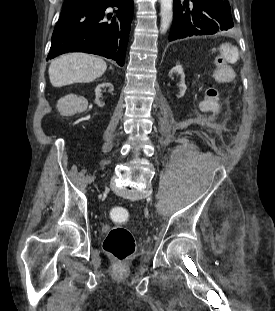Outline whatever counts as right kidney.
Masks as SVG:
<instances>
[{
	"instance_id": "1",
	"label": "right kidney",
	"mask_w": 275,
	"mask_h": 311,
	"mask_svg": "<svg viewBox=\"0 0 275 311\" xmlns=\"http://www.w3.org/2000/svg\"><path fill=\"white\" fill-rule=\"evenodd\" d=\"M113 86L111 83H102L99 84L95 88V105H98L99 108H106L107 107V100H111L113 95L112 92Z\"/></svg>"
}]
</instances>
